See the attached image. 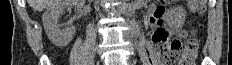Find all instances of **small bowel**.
<instances>
[{
    "label": "small bowel",
    "mask_w": 232,
    "mask_h": 65,
    "mask_svg": "<svg viewBox=\"0 0 232 65\" xmlns=\"http://www.w3.org/2000/svg\"><path fill=\"white\" fill-rule=\"evenodd\" d=\"M147 25L151 28L152 41L157 45L160 40L156 39V35L167 38L171 34V30L165 26L163 13L159 9H151L146 18ZM180 35H184L183 31H178ZM162 65H168L164 62Z\"/></svg>",
    "instance_id": "small-bowel-1"
}]
</instances>
